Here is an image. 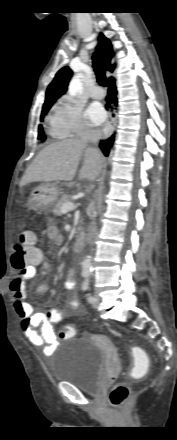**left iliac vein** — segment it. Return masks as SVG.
Wrapping results in <instances>:
<instances>
[{"label":"left iliac vein","mask_w":177,"mask_h":440,"mask_svg":"<svg viewBox=\"0 0 177 440\" xmlns=\"http://www.w3.org/2000/svg\"><path fill=\"white\" fill-rule=\"evenodd\" d=\"M94 298L96 299V301L94 303H92V305L94 308H97L100 303V297L95 295Z\"/></svg>","instance_id":"4c4485c4"}]
</instances>
